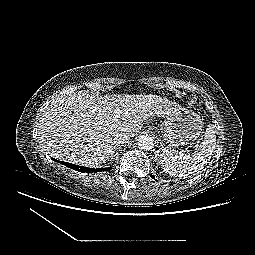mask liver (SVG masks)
Segmentation results:
<instances>
[{"label":"liver","mask_w":255,"mask_h":255,"mask_svg":"<svg viewBox=\"0 0 255 255\" xmlns=\"http://www.w3.org/2000/svg\"><path fill=\"white\" fill-rule=\"evenodd\" d=\"M173 105L169 99L152 94L71 93L56 97L43 111L38 140L52 157L98 166L113 154L118 133L135 136L143 121L165 116ZM115 111L120 115L117 121Z\"/></svg>","instance_id":"obj_1"}]
</instances>
